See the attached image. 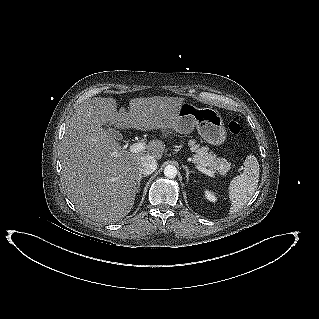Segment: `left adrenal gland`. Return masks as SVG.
Listing matches in <instances>:
<instances>
[{
    "label": "left adrenal gland",
    "mask_w": 319,
    "mask_h": 319,
    "mask_svg": "<svg viewBox=\"0 0 319 319\" xmlns=\"http://www.w3.org/2000/svg\"><path fill=\"white\" fill-rule=\"evenodd\" d=\"M184 167V169L186 170V178H187V181H189V174H191V173H195L194 171H189V169H188V167L187 166H183Z\"/></svg>",
    "instance_id": "obj_1"
}]
</instances>
